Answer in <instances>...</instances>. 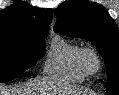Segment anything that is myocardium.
<instances>
[{
  "label": "myocardium",
  "instance_id": "1",
  "mask_svg": "<svg viewBox=\"0 0 119 95\" xmlns=\"http://www.w3.org/2000/svg\"><path fill=\"white\" fill-rule=\"evenodd\" d=\"M93 62V63H92ZM80 63L87 74H96L102 66V60L96 49L84 47L80 52Z\"/></svg>",
  "mask_w": 119,
  "mask_h": 95
}]
</instances>
